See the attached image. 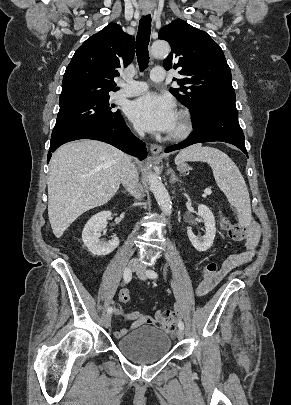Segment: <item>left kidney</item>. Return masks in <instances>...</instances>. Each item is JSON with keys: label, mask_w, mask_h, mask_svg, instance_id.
I'll list each match as a JSON object with an SVG mask.
<instances>
[{"label": "left kidney", "mask_w": 291, "mask_h": 405, "mask_svg": "<svg viewBox=\"0 0 291 405\" xmlns=\"http://www.w3.org/2000/svg\"><path fill=\"white\" fill-rule=\"evenodd\" d=\"M198 216L203 219L205 224V235L202 237H197L194 235L191 229H188L187 235L194 248L199 252H204L212 246L215 238V218L212 211L203 204L198 206Z\"/></svg>", "instance_id": "5707ae66"}]
</instances>
